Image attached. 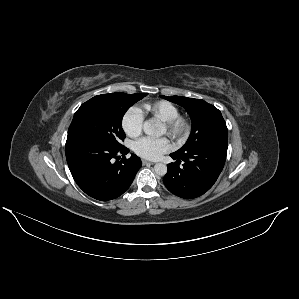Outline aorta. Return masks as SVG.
Returning <instances> with one entry per match:
<instances>
[{
    "instance_id": "obj_1",
    "label": "aorta",
    "mask_w": 299,
    "mask_h": 299,
    "mask_svg": "<svg viewBox=\"0 0 299 299\" xmlns=\"http://www.w3.org/2000/svg\"><path fill=\"white\" fill-rule=\"evenodd\" d=\"M143 130L145 134L150 136L153 135L160 136L163 134L161 125L153 119L144 122ZM154 171L157 175L164 176L167 173V166L163 163H157L154 166Z\"/></svg>"
}]
</instances>
